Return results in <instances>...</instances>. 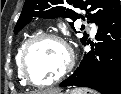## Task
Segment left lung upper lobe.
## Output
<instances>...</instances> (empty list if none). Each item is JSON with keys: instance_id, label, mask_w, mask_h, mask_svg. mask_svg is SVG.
<instances>
[{"instance_id": "obj_1", "label": "left lung upper lobe", "mask_w": 121, "mask_h": 94, "mask_svg": "<svg viewBox=\"0 0 121 94\" xmlns=\"http://www.w3.org/2000/svg\"><path fill=\"white\" fill-rule=\"evenodd\" d=\"M74 8L84 9L86 18L97 25L107 20L121 10L119 0H26L22 13L17 21L14 32L17 33L27 25L34 17L53 19L65 17L72 21L85 17L78 14ZM73 27V23H70ZM84 28L81 27V30ZM88 34L84 32L81 43L85 44Z\"/></svg>"}]
</instances>
